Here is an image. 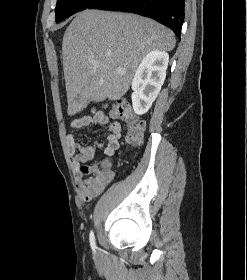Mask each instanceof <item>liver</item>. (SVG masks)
<instances>
[{
  "label": "liver",
  "instance_id": "liver-1",
  "mask_svg": "<svg viewBox=\"0 0 247 280\" xmlns=\"http://www.w3.org/2000/svg\"><path fill=\"white\" fill-rule=\"evenodd\" d=\"M175 43L172 31L146 17L88 9L78 13L62 41L68 114L91 101L121 98L144 56L171 51Z\"/></svg>",
  "mask_w": 247,
  "mask_h": 280
}]
</instances>
